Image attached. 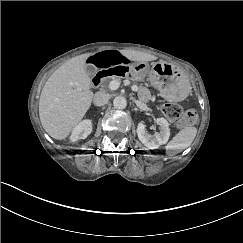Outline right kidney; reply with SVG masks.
I'll return each mask as SVG.
<instances>
[{
	"instance_id": "1",
	"label": "right kidney",
	"mask_w": 243,
	"mask_h": 243,
	"mask_svg": "<svg viewBox=\"0 0 243 243\" xmlns=\"http://www.w3.org/2000/svg\"><path fill=\"white\" fill-rule=\"evenodd\" d=\"M91 127V121L90 120H84L81 123H79L72 131V134L70 136L71 142H76L79 139H82L84 137V134L88 129Z\"/></svg>"
}]
</instances>
